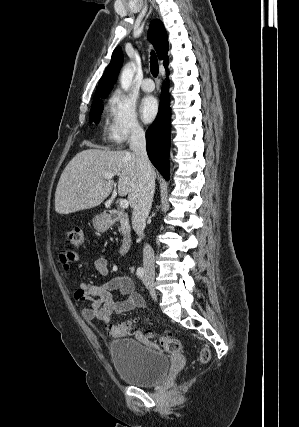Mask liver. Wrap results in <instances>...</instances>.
I'll list each match as a JSON object with an SVG mask.
<instances>
[{
    "mask_svg": "<svg viewBox=\"0 0 299 427\" xmlns=\"http://www.w3.org/2000/svg\"><path fill=\"white\" fill-rule=\"evenodd\" d=\"M105 173L119 176L118 194L127 196L134 207L139 194L135 154L87 149L76 154L63 170L55 192V211L69 214L100 205L114 186L112 179L104 178Z\"/></svg>",
    "mask_w": 299,
    "mask_h": 427,
    "instance_id": "liver-1",
    "label": "liver"
}]
</instances>
